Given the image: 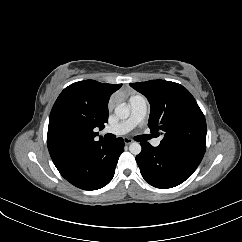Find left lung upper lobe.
I'll return each mask as SVG.
<instances>
[{
    "label": "left lung upper lobe",
    "mask_w": 242,
    "mask_h": 242,
    "mask_svg": "<svg viewBox=\"0 0 242 242\" xmlns=\"http://www.w3.org/2000/svg\"><path fill=\"white\" fill-rule=\"evenodd\" d=\"M130 86L147 97L151 105L148 126L158 135L163 132L160 144L205 153V117L186 88L164 80L130 83Z\"/></svg>",
    "instance_id": "1"
}]
</instances>
